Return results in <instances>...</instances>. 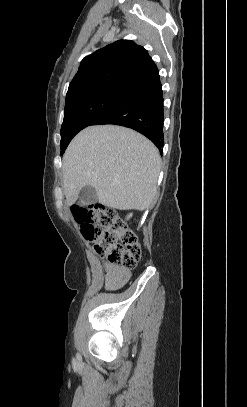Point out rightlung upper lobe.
Wrapping results in <instances>:
<instances>
[{"instance_id":"right-lung-upper-lobe-1","label":"right lung upper lobe","mask_w":247,"mask_h":407,"mask_svg":"<svg viewBox=\"0 0 247 407\" xmlns=\"http://www.w3.org/2000/svg\"><path fill=\"white\" fill-rule=\"evenodd\" d=\"M158 77V69L147 50L133 41L120 40L81 61L69 85L65 104L109 87L137 90Z\"/></svg>"}]
</instances>
